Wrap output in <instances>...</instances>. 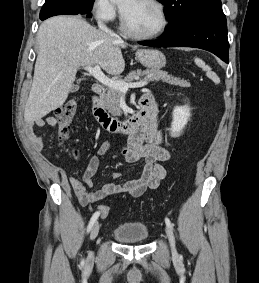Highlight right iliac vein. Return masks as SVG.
<instances>
[{"label":"right iliac vein","instance_id":"1","mask_svg":"<svg viewBox=\"0 0 259 283\" xmlns=\"http://www.w3.org/2000/svg\"><path fill=\"white\" fill-rule=\"evenodd\" d=\"M99 229H100V224L98 222H96L94 224L92 230H91V233H90V239L91 240H94L97 237V235L99 233ZM89 256L90 257L93 256V252L92 251L89 252Z\"/></svg>","mask_w":259,"mask_h":283}]
</instances>
